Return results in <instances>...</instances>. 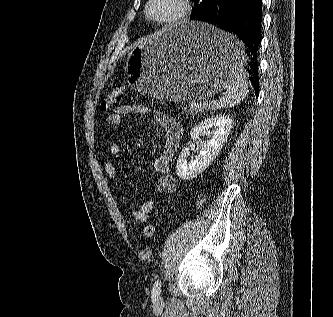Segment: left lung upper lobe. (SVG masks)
<instances>
[{
  "mask_svg": "<svg viewBox=\"0 0 333 317\" xmlns=\"http://www.w3.org/2000/svg\"><path fill=\"white\" fill-rule=\"evenodd\" d=\"M194 2V8L192 15L205 9L212 0H192Z\"/></svg>",
  "mask_w": 333,
  "mask_h": 317,
  "instance_id": "left-lung-upper-lobe-1",
  "label": "left lung upper lobe"
}]
</instances>
